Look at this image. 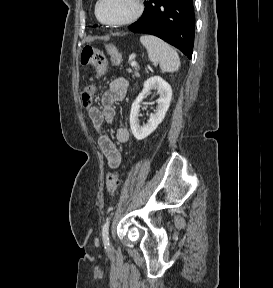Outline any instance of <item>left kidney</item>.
Listing matches in <instances>:
<instances>
[{
    "instance_id": "left-kidney-1",
    "label": "left kidney",
    "mask_w": 273,
    "mask_h": 288,
    "mask_svg": "<svg viewBox=\"0 0 273 288\" xmlns=\"http://www.w3.org/2000/svg\"><path fill=\"white\" fill-rule=\"evenodd\" d=\"M152 89H155L159 95V98L156 100L158 105L154 113L150 115L148 122L141 126L138 119L140 103L142 102L144 96ZM171 98V86L160 76L150 77L144 82L143 89L133 102L130 112V127L134 137L137 140L145 139L157 129L158 125L163 121L166 112L169 109Z\"/></svg>"
}]
</instances>
